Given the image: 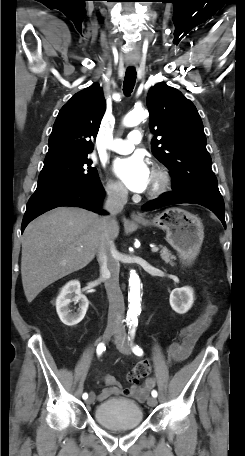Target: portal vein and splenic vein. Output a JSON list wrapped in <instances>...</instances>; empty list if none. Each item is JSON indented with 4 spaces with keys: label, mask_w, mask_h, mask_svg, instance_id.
<instances>
[{
    "label": "portal vein and splenic vein",
    "mask_w": 245,
    "mask_h": 456,
    "mask_svg": "<svg viewBox=\"0 0 245 456\" xmlns=\"http://www.w3.org/2000/svg\"><path fill=\"white\" fill-rule=\"evenodd\" d=\"M151 251H152L153 253H156V252L159 251V248H158V247H152Z\"/></svg>",
    "instance_id": "18ae733b"
}]
</instances>
